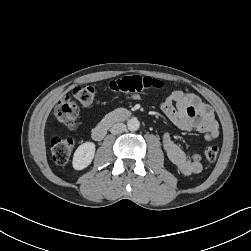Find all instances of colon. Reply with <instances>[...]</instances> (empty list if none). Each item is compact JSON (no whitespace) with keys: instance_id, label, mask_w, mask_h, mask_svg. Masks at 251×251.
Listing matches in <instances>:
<instances>
[{"instance_id":"obj_1","label":"colon","mask_w":251,"mask_h":251,"mask_svg":"<svg viewBox=\"0 0 251 251\" xmlns=\"http://www.w3.org/2000/svg\"><path fill=\"white\" fill-rule=\"evenodd\" d=\"M164 83L161 80L137 75L124 76L113 80L109 84L112 92L130 94L144 93L149 90L161 89ZM96 96V88L92 85L77 86L60 100L55 107L57 120L70 129L77 125L78 105L88 107L93 104ZM51 152L54 161L59 165L66 164L74 149V140L70 137H61L53 134L50 139ZM219 148L216 144H209L205 148V157L209 162L217 159Z\"/></svg>"}]
</instances>
